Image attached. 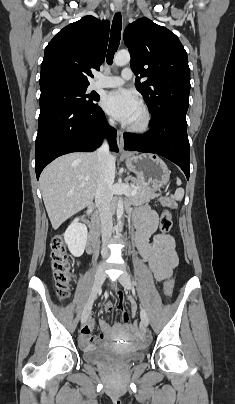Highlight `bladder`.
Returning a JSON list of instances; mask_svg holds the SVG:
<instances>
[{"label":"bladder","instance_id":"31cf9c89","mask_svg":"<svg viewBox=\"0 0 235 404\" xmlns=\"http://www.w3.org/2000/svg\"><path fill=\"white\" fill-rule=\"evenodd\" d=\"M84 358L92 364L130 365L140 362L142 354L135 349L121 351L114 346L97 347L84 353Z\"/></svg>","mask_w":235,"mask_h":404}]
</instances>
